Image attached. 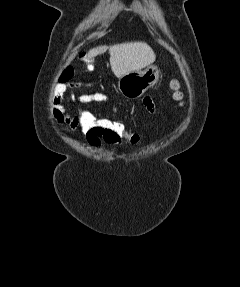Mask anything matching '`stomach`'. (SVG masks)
Returning a JSON list of instances; mask_svg holds the SVG:
<instances>
[{"label":"stomach","instance_id":"stomach-1","mask_svg":"<svg viewBox=\"0 0 240 287\" xmlns=\"http://www.w3.org/2000/svg\"><path fill=\"white\" fill-rule=\"evenodd\" d=\"M159 75L160 70L153 65L143 71L129 72L119 78V91L127 99H137L157 84Z\"/></svg>","mask_w":240,"mask_h":287}]
</instances>
